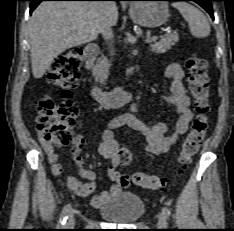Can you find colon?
Segmentation results:
<instances>
[{"label":"colon","instance_id":"colon-1","mask_svg":"<svg viewBox=\"0 0 234 231\" xmlns=\"http://www.w3.org/2000/svg\"><path fill=\"white\" fill-rule=\"evenodd\" d=\"M82 60V49L73 47L60 54L48 71L49 82L61 89V100L57 101L51 97L43 98L40 101L37 122L45 141L57 147L70 142V129L77 120L78 110L70 98L79 82ZM186 66L189 89L194 99L197 115L180 149L179 162L181 164L188 163L199 150L208 131L210 109L206 60L194 55L187 60ZM132 157V152L127 148H121L118 151V160L123 166L130 164ZM131 181L147 189H158L164 183L160 176L141 172H134L131 175Z\"/></svg>","mask_w":234,"mask_h":231}]
</instances>
